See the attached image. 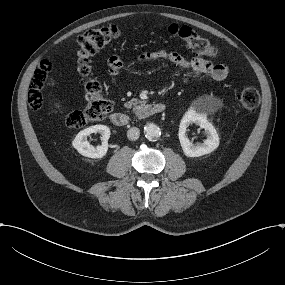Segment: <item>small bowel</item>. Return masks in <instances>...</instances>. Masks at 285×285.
I'll list each match as a JSON object with an SVG mask.
<instances>
[{"label":"small bowel","mask_w":285,"mask_h":285,"mask_svg":"<svg viewBox=\"0 0 285 285\" xmlns=\"http://www.w3.org/2000/svg\"><path fill=\"white\" fill-rule=\"evenodd\" d=\"M155 60H167L188 72V77L183 79L184 83L195 81H206L207 83L221 82L229 74L228 67L223 63L213 64L201 57L185 59L180 53L168 49L144 52L140 54L135 62L125 63L119 57L113 56L109 60V74L115 81L121 69L129 68L136 63H146Z\"/></svg>","instance_id":"small-bowel-1"}]
</instances>
